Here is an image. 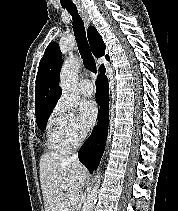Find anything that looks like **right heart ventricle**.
Here are the masks:
<instances>
[{"mask_svg": "<svg viewBox=\"0 0 178 211\" xmlns=\"http://www.w3.org/2000/svg\"><path fill=\"white\" fill-rule=\"evenodd\" d=\"M47 144L51 149L58 152H65L68 149L67 145L58 134L57 128L53 121L48 128Z\"/></svg>", "mask_w": 178, "mask_h": 211, "instance_id": "obj_1", "label": "right heart ventricle"}]
</instances>
